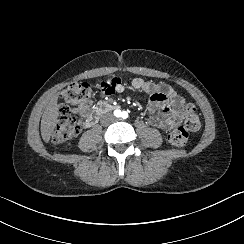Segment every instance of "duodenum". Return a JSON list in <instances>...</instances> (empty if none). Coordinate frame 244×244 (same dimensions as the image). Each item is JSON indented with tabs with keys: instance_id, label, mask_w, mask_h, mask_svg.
Returning a JSON list of instances; mask_svg holds the SVG:
<instances>
[{
	"instance_id": "1",
	"label": "duodenum",
	"mask_w": 244,
	"mask_h": 244,
	"mask_svg": "<svg viewBox=\"0 0 244 244\" xmlns=\"http://www.w3.org/2000/svg\"><path fill=\"white\" fill-rule=\"evenodd\" d=\"M116 108H118V105L113 104L111 102L101 101V102L97 103V105L95 106V109L93 111V114L90 118V126L92 127L94 125L95 121L101 115H103L106 111H110V110H113Z\"/></svg>"
}]
</instances>
